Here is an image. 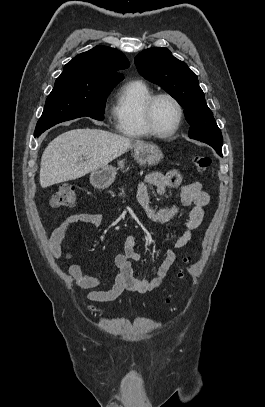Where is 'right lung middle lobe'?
Here are the masks:
<instances>
[{"label": "right lung middle lobe", "instance_id": "right-lung-middle-lobe-1", "mask_svg": "<svg viewBox=\"0 0 265 407\" xmlns=\"http://www.w3.org/2000/svg\"><path fill=\"white\" fill-rule=\"evenodd\" d=\"M118 83L77 82L71 78L58 77L54 89L46 99L34 135L64 121L88 116L103 120L106 98Z\"/></svg>", "mask_w": 265, "mask_h": 407}]
</instances>
